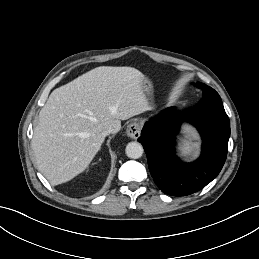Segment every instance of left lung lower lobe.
Listing matches in <instances>:
<instances>
[{
    "mask_svg": "<svg viewBox=\"0 0 259 259\" xmlns=\"http://www.w3.org/2000/svg\"><path fill=\"white\" fill-rule=\"evenodd\" d=\"M166 109L145 124L138 141L143 145L150 173L157 186L171 196L193 194L217 177L228 152L230 121L219 94L204 90L193 109L180 113ZM188 121L200 132L203 144L200 158L189 164L175 155L174 140L180 123Z\"/></svg>",
    "mask_w": 259,
    "mask_h": 259,
    "instance_id": "1",
    "label": "left lung lower lobe"
}]
</instances>
